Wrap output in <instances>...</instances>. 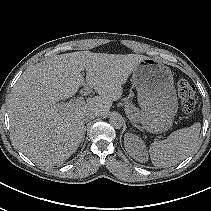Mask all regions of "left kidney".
Segmentation results:
<instances>
[{
    "label": "left kidney",
    "mask_w": 211,
    "mask_h": 211,
    "mask_svg": "<svg viewBox=\"0 0 211 211\" xmlns=\"http://www.w3.org/2000/svg\"><path fill=\"white\" fill-rule=\"evenodd\" d=\"M126 151L131 157L140 162L147 161V152L144 142L137 136L126 134L124 137Z\"/></svg>",
    "instance_id": "left-kidney-1"
}]
</instances>
